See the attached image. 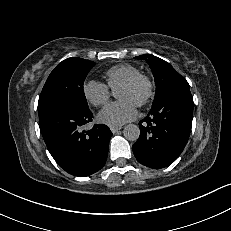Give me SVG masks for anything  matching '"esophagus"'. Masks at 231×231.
Listing matches in <instances>:
<instances>
[{"label":"esophagus","mask_w":231,"mask_h":231,"mask_svg":"<svg viewBox=\"0 0 231 231\" xmlns=\"http://www.w3.org/2000/svg\"><path fill=\"white\" fill-rule=\"evenodd\" d=\"M122 129V127H111L110 130L112 131V133H117L118 131H120Z\"/></svg>","instance_id":"34e87169"}]
</instances>
